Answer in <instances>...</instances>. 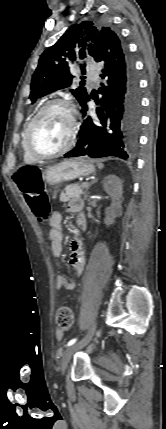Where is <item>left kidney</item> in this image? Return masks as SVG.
Masks as SVG:
<instances>
[{"mask_svg":"<svg viewBox=\"0 0 166 429\" xmlns=\"http://www.w3.org/2000/svg\"><path fill=\"white\" fill-rule=\"evenodd\" d=\"M103 188L105 192L112 198V204L106 209L105 224L112 225L115 218L122 214V181L116 175H109L103 180Z\"/></svg>","mask_w":166,"mask_h":429,"instance_id":"left-kidney-1","label":"left kidney"}]
</instances>
